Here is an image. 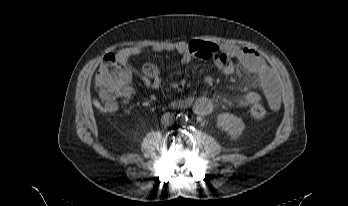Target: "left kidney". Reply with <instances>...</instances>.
<instances>
[{
    "label": "left kidney",
    "mask_w": 348,
    "mask_h": 206,
    "mask_svg": "<svg viewBox=\"0 0 348 206\" xmlns=\"http://www.w3.org/2000/svg\"><path fill=\"white\" fill-rule=\"evenodd\" d=\"M216 123L218 127H221L233 138L239 137L245 129V124L242 119L229 113L219 114Z\"/></svg>",
    "instance_id": "left-kidney-1"
}]
</instances>
